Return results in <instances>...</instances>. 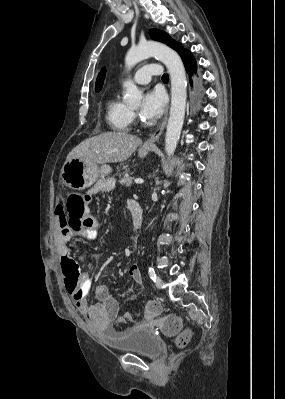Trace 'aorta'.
Returning <instances> with one entry per match:
<instances>
[{
	"mask_svg": "<svg viewBox=\"0 0 285 399\" xmlns=\"http://www.w3.org/2000/svg\"><path fill=\"white\" fill-rule=\"evenodd\" d=\"M152 56L165 64L171 78V108L165 136V152L170 157L176 150L184 122L187 97L186 73L180 56L170 47L155 41L139 43L129 49L125 57L126 67L130 70L137 63ZM123 86L126 89L124 101L128 105L138 106L142 100L141 91L130 79L126 80Z\"/></svg>",
	"mask_w": 285,
	"mask_h": 399,
	"instance_id": "1",
	"label": "aorta"
}]
</instances>
